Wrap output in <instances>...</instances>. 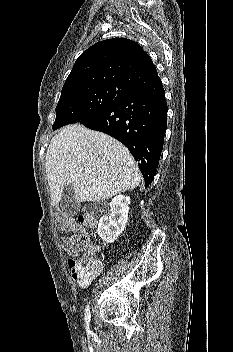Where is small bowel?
<instances>
[{
	"label": "small bowel",
	"mask_w": 233,
	"mask_h": 352,
	"mask_svg": "<svg viewBox=\"0 0 233 352\" xmlns=\"http://www.w3.org/2000/svg\"><path fill=\"white\" fill-rule=\"evenodd\" d=\"M68 265H69V267L72 266V260H69ZM93 278H94V277H93ZM93 278H91V279H89V280H87V281H81V280H76V281H77V283H78V285H79L80 287L85 288V287H87V286L91 283V281H92Z\"/></svg>",
	"instance_id": "small-bowel-1"
}]
</instances>
